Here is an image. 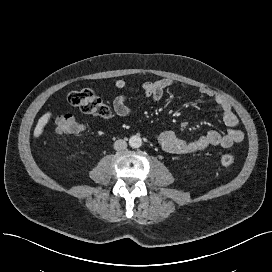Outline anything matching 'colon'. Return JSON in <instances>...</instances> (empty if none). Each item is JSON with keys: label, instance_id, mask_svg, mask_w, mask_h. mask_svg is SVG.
<instances>
[{"label": "colon", "instance_id": "colon-1", "mask_svg": "<svg viewBox=\"0 0 272 272\" xmlns=\"http://www.w3.org/2000/svg\"><path fill=\"white\" fill-rule=\"evenodd\" d=\"M67 101L72 106L79 107L84 113L92 114L100 118H108L111 115L110 107L91 90L83 89L68 94ZM83 125L73 116L59 115L55 118V131L62 135H71L81 132ZM221 163L226 167L234 165L235 158L231 154H223Z\"/></svg>", "mask_w": 272, "mask_h": 272}]
</instances>
